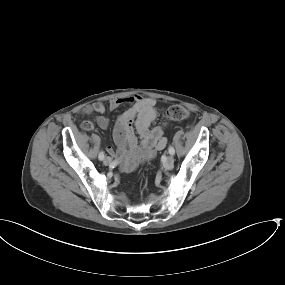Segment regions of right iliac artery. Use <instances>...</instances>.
Masks as SVG:
<instances>
[{
  "label": "right iliac artery",
  "mask_w": 285,
  "mask_h": 285,
  "mask_svg": "<svg viewBox=\"0 0 285 285\" xmlns=\"http://www.w3.org/2000/svg\"><path fill=\"white\" fill-rule=\"evenodd\" d=\"M98 157H99V160H103L104 159V152H100Z\"/></svg>",
  "instance_id": "right-iliac-artery-1"
}]
</instances>
